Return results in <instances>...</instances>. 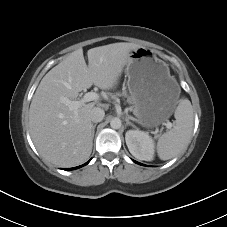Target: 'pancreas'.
Returning <instances> with one entry per match:
<instances>
[{
  "mask_svg": "<svg viewBox=\"0 0 227 227\" xmlns=\"http://www.w3.org/2000/svg\"><path fill=\"white\" fill-rule=\"evenodd\" d=\"M117 95H126L125 93H123V94H117ZM129 102H131L130 100H129Z\"/></svg>",
  "mask_w": 227,
  "mask_h": 227,
  "instance_id": "cf45deb5",
  "label": "pancreas"
}]
</instances>
